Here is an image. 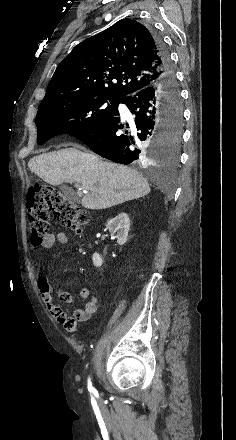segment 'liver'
Returning a JSON list of instances; mask_svg holds the SVG:
<instances>
[{"label": "liver", "instance_id": "1", "mask_svg": "<svg viewBox=\"0 0 236 440\" xmlns=\"http://www.w3.org/2000/svg\"><path fill=\"white\" fill-rule=\"evenodd\" d=\"M28 167L51 185L76 182L77 195L87 209L110 208L150 192L147 180L137 171L102 161L93 153L75 147L37 155L30 159Z\"/></svg>", "mask_w": 236, "mask_h": 440}]
</instances>
